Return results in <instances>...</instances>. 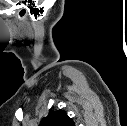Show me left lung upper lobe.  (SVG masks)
I'll return each instance as SVG.
<instances>
[{
  "mask_svg": "<svg viewBox=\"0 0 127 126\" xmlns=\"http://www.w3.org/2000/svg\"><path fill=\"white\" fill-rule=\"evenodd\" d=\"M39 126H75L74 121L63 110H51Z\"/></svg>",
  "mask_w": 127,
  "mask_h": 126,
  "instance_id": "5c2ea615",
  "label": "left lung upper lobe"
}]
</instances>
